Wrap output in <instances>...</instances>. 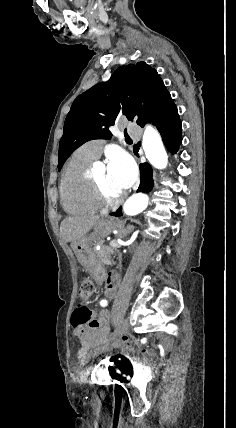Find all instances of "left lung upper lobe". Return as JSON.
I'll return each instance as SVG.
<instances>
[{
	"label": "left lung upper lobe",
	"instance_id": "left-lung-upper-lobe-1",
	"mask_svg": "<svg viewBox=\"0 0 236 428\" xmlns=\"http://www.w3.org/2000/svg\"><path fill=\"white\" fill-rule=\"evenodd\" d=\"M172 98L157 71L145 62L119 67L108 83H99L73 102L59 144L60 171L71 153L87 141L110 139L109 126L120 115L141 127L152 120Z\"/></svg>",
	"mask_w": 236,
	"mask_h": 428
}]
</instances>
